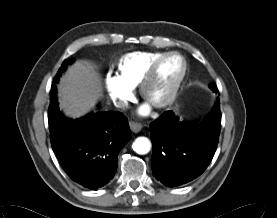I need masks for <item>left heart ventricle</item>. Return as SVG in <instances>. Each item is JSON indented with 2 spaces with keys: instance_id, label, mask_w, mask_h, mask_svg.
Wrapping results in <instances>:
<instances>
[{
  "instance_id": "1",
  "label": "left heart ventricle",
  "mask_w": 277,
  "mask_h": 218,
  "mask_svg": "<svg viewBox=\"0 0 277 218\" xmlns=\"http://www.w3.org/2000/svg\"><path fill=\"white\" fill-rule=\"evenodd\" d=\"M181 60L172 56L164 60L156 73V76L149 87V97L157 100L165 96L173 82L181 71Z\"/></svg>"
}]
</instances>
